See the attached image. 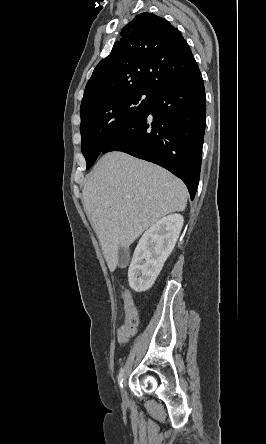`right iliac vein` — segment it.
I'll use <instances>...</instances> for the list:
<instances>
[{
  "label": "right iliac vein",
  "mask_w": 266,
  "mask_h": 444,
  "mask_svg": "<svg viewBox=\"0 0 266 444\" xmlns=\"http://www.w3.org/2000/svg\"><path fill=\"white\" fill-rule=\"evenodd\" d=\"M121 392H122V395L125 396V389L123 386H122Z\"/></svg>",
  "instance_id": "1"
}]
</instances>
